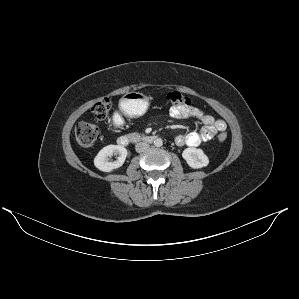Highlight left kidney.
Here are the masks:
<instances>
[{"label": "left kidney", "mask_w": 299, "mask_h": 299, "mask_svg": "<svg viewBox=\"0 0 299 299\" xmlns=\"http://www.w3.org/2000/svg\"><path fill=\"white\" fill-rule=\"evenodd\" d=\"M182 157L193 169L203 168L209 164V159L202 149L186 148L182 153Z\"/></svg>", "instance_id": "obj_1"}]
</instances>
